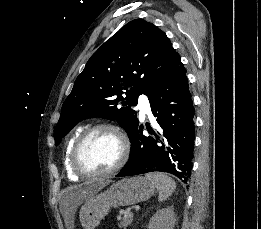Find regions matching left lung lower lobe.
I'll return each instance as SVG.
<instances>
[{
    "instance_id": "left-lung-lower-lobe-1",
    "label": "left lung lower lobe",
    "mask_w": 261,
    "mask_h": 229,
    "mask_svg": "<svg viewBox=\"0 0 261 229\" xmlns=\"http://www.w3.org/2000/svg\"><path fill=\"white\" fill-rule=\"evenodd\" d=\"M186 69L182 63L148 94L151 111L159 124L154 136H143L140 126L130 137L129 161L116 177L160 171L181 180L191 175L194 148V107Z\"/></svg>"
}]
</instances>
